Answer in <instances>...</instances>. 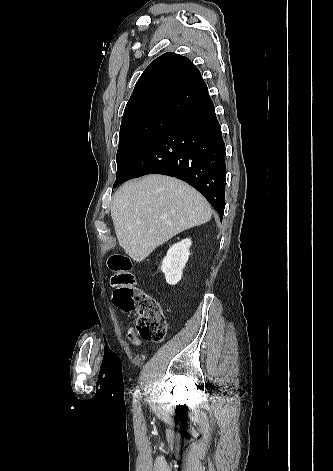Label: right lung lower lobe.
<instances>
[{"label":"right lung lower lobe","mask_w":333,"mask_h":471,"mask_svg":"<svg viewBox=\"0 0 333 471\" xmlns=\"http://www.w3.org/2000/svg\"><path fill=\"white\" fill-rule=\"evenodd\" d=\"M225 144L214 104L206 94L178 115L135 158L114 187L157 173L181 179L197 189L219 212L225 208Z\"/></svg>","instance_id":"1"}]
</instances>
